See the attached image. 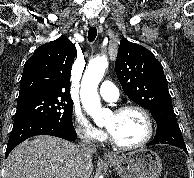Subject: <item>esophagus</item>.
Returning <instances> with one entry per match:
<instances>
[{"mask_svg":"<svg viewBox=\"0 0 194 178\" xmlns=\"http://www.w3.org/2000/svg\"><path fill=\"white\" fill-rule=\"evenodd\" d=\"M90 26H96L97 25V22L96 21H90ZM104 157L107 158V159H110V158H113V155L110 154V153H105L104 154Z\"/></svg>","mask_w":194,"mask_h":178,"instance_id":"obj_1","label":"esophagus"}]
</instances>
